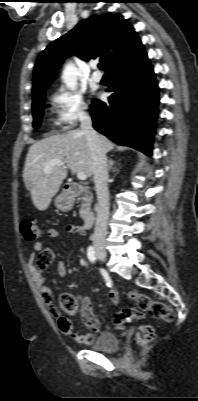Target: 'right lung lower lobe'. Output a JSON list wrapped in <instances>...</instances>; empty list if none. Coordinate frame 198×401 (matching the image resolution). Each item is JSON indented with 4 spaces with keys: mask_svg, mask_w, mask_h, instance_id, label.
Listing matches in <instances>:
<instances>
[{
    "mask_svg": "<svg viewBox=\"0 0 198 401\" xmlns=\"http://www.w3.org/2000/svg\"><path fill=\"white\" fill-rule=\"evenodd\" d=\"M114 92L108 103L93 101V127L112 141L151 155L158 106V85L142 44L108 71Z\"/></svg>",
    "mask_w": 198,
    "mask_h": 401,
    "instance_id": "1",
    "label": "right lung lower lobe"
}]
</instances>
